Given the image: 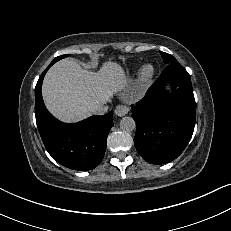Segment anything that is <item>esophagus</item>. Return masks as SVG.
Wrapping results in <instances>:
<instances>
[{"instance_id": "1", "label": "esophagus", "mask_w": 231, "mask_h": 231, "mask_svg": "<svg viewBox=\"0 0 231 231\" xmlns=\"http://www.w3.org/2000/svg\"><path fill=\"white\" fill-rule=\"evenodd\" d=\"M114 112L117 116L123 117L128 114L129 108L126 105H117Z\"/></svg>"}]
</instances>
